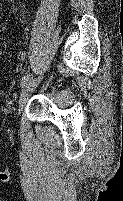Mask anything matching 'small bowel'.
<instances>
[{
    "label": "small bowel",
    "instance_id": "obj_1",
    "mask_svg": "<svg viewBox=\"0 0 123 201\" xmlns=\"http://www.w3.org/2000/svg\"><path fill=\"white\" fill-rule=\"evenodd\" d=\"M10 1H12V0H10ZM2 56V49H1V47H0V57ZM18 59L22 62V61H24L26 58H27V52L25 51V50H19L18 51ZM22 63H19V64H17L15 67H14V70L16 71V72H19V71H21L22 70Z\"/></svg>",
    "mask_w": 123,
    "mask_h": 201
}]
</instances>
